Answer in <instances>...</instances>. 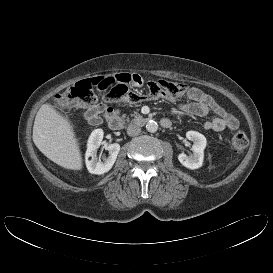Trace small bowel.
Listing matches in <instances>:
<instances>
[{
  "mask_svg": "<svg viewBox=\"0 0 273 273\" xmlns=\"http://www.w3.org/2000/svg\"><path fill=\"white\" fill-rule=\"evenodd\" d=\"M139 77L137 84L141 85ZM187 101L180 103V112L186 115L205 116L213 113L211 119L203 123V128L209 131L221 132L225 129L234 131L239 127V122L230 112L219 105L215 99L199 88H190L186 94ZM114 113L113 109L105 104H97L88 108L84 113L85 120L90 125H98L103 117Z\"/></svg>",
  "mask_w": 273,
  "mask_h": 273,
  "instance_id": "1",
  "label": "small bowel"
}]
</instances>
